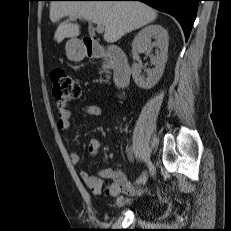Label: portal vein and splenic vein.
<instances>
[{"label":"portal vein and splenic vein","instance_id":"portal-vein-and-splenic-vein-1","mask_svg":"<svg viewBox=\"0 0 231 231\" xmlns=\"http://www.w3.org/2000/svg\"><path fill=\"white\" fill-rule=\"evenodd\" d=\"M96 30H97L98 33H103L104 26L98 23L97 27H96Z\"/></svg>","mask_w":231,"mask_h":231}]
</instances>
